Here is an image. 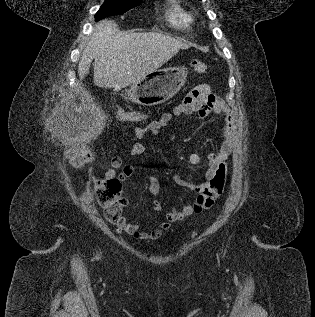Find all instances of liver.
Here are the masks:
<instances>
[{"instance_id":"obj_1","label":"liver","mask_w":315,"mask_h":317,"mask_svg":"<svg viewBox=\"0 0 315 317\" xmlns=\"http://www.w3.org/2000/svg\"><path fill=\"white\" fill-rule=\"evenodd\" d=\"M189 47L169 35L122 32L114 21L102 20L81 54L78 74L83 79L94 59V84L119 89L135 84Z\"/></svg>"}]
</instances>
